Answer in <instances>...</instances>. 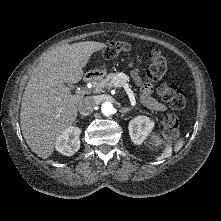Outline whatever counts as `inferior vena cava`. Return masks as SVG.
<instances>
[{"label": "inferior vena cava", "instance_id": "obj_1", "mask_svg": "<svg viewBox=\"0 0 221 221\" xmlns=\"http://www.w3.org/2000/svg\"><path fill=\"white\" fill-rule=\"evenodd\" d=\"M96 102L93 97H86L82 99L78 105V111L81 115L87 116L92 113Z\"/></svg>", "mask_w": 221, "mask_h": 221}]
</instances>
